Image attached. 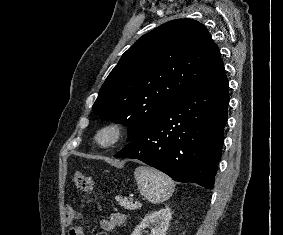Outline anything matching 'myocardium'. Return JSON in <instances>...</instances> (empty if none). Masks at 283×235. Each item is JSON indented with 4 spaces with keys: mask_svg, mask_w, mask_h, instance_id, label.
Returning a JSON list of instances; mask_svg holds the SVG:
<instances>
[{
    "mask_svg": "<svg viewBox=\"0 0 283 235\" xmlns=\"http://www.w3.org/2000/svg\"><path fill=\"white\" fill-rule=\"evenodd\" d=\"M126 134L122 122L112 120L102 124L96 131L94 141L102 149H109L119 144Z\"/></svg>",
    "mask_w": 283,
    "mask_h": 235,
    "instance_id": "myocardium-1",
    "label": "myocardium"
}]
</instances>
